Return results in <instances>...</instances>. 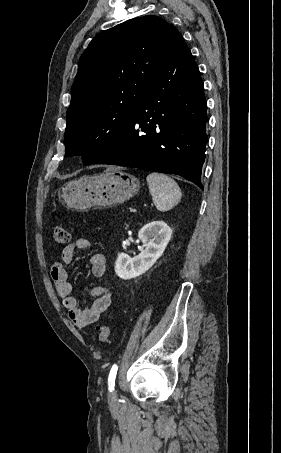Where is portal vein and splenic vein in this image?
Wrapping results in <instances>:
<instances>
[{
    "instance_id": "portal-vein-and-splenic-vein-1",
    "label": "portal vein and splenic vein",
    "mask_w": 281,
    "mask_h": 453,
    "mask_svg": "<svg viewBox=\"0 0 281 453\" xmlns=\"http://www.w3.org/2000/svg\"><path fill=\"white\" fill-rule=\"evenodd\" d=\"M133 212L136 213V212H137V208L132 206V207H130V209H129V213H133Z\"/></svg>"
}]
</instances>
